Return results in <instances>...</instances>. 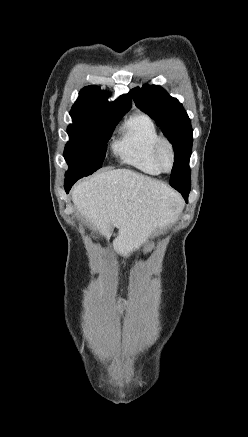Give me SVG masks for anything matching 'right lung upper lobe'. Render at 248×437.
Here are the masks:
<instances>
[{
  "label": "right lung upper lobe",
  "mask_w": 248,
  "mask_h": 437,
  "mask_svg": "<svg viewBox=\"0 0 248 437\" xmlns=\"http://www.w3.org/2000/svg\"><path fill=\"white\" fill-rule=\"evenodd\" d=\"M109 93L98 86L84 87L72 106L70 115L78 119L100 121L123 117L131 108L130 94L122 95L114 102H108Z\"/></svg>",
  "instance_id": "right-lung-upper-lobe-1"
}]
</instances>
